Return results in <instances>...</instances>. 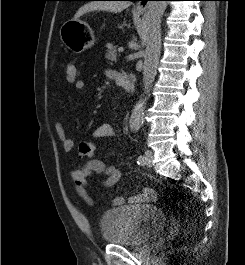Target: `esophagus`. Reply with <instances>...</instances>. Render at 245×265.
<instances>
[{"instance_id": "obj_1", "label": "esophagus", "mask_w": 245, "mask_h": 265, "mask_svg": "<svg viewBox=\"0 0 245 265\" xmlns=\"http://www.w3.org/2000/svg\"><path fill=\"white\" fill-rule=\"evenodd\" d=\"M147 9V0H141L137 3L135 10L136 11H145Z\"/></svg>"}]
</instances>
